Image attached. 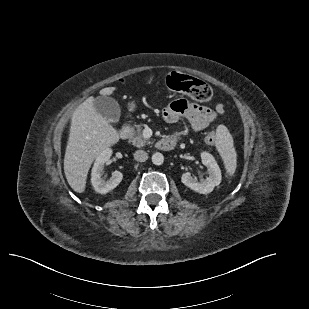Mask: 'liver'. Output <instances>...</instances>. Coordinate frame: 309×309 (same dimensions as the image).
<instances>
[{"mask_svg":"<svg viewBox=\"0 0 309 309\" xmlns=\"http://www.w3.org/2000/svg\"><path fill=\"white\" fill-rule=\"evenodd\" d=\"M116 87L100 90L103 96L111 95ZM94 98H87L74 111L64 156V172L71 188L83 193L94 159L105 149L119 141L118 131L96 112Z\"/></svg>","mask_w":309,"mask_h":309,"instance_id":"obj_1","label":"liver"}]
</instances>
